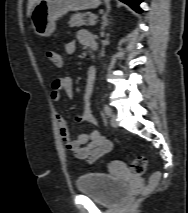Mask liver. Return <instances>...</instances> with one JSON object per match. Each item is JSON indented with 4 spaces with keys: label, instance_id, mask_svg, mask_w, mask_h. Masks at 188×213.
Here are the masks:
<instances>
[{
    "label": "liver",
    "instance_id": "6515ba94",
    "mask_svg": "<svg viewBox=\"0 0 188 213\" xmlns=\"http://www.w3.org/2000/svg\"><path fill=\"white\" fill-rule=\"evenodd\" d=\"M38 1L39 0H28V5H27V15L28 16L31 15L33 8Z\"/></svg>",
    "mask_w": 188,
    "mask_h": 213
}]
</instances>
